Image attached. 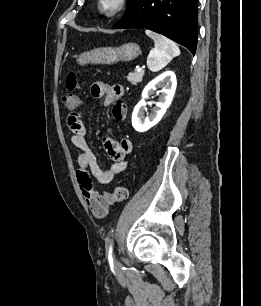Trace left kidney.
I'll return each mask as SVG.
<instances>
[{
  "label": "left kidney",
  "mask_w": 261,
  "mask_h": 306,
  "mask_svg": "<svg viewBox=\"0 0 261 306\" xmlns=\"http://www.w3.org/2000/svg\"><path fill=\"white\" fill-rule=\"evenodd\" d=\"M176 86V75L172 71L162 73L146 85L142 92V100L135 106L132 113V126L137 132L149 130L162 119L173 100ZM157 87L162 88L159 101L155 103L156 107L153 109L152 113L145 117V99L153 93Z\"/></svg>",
  "instance_id": "5707ae66"
}]
</instances>
